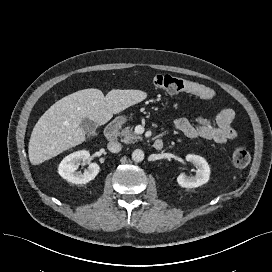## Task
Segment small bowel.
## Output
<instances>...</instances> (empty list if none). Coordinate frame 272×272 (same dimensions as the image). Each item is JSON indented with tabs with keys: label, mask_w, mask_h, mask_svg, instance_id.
Segmentation results:
<instances>
[{
	"label": "small bowel",
	"mask_w": 272,
	"mask_h": 272,
	"mask_svg": "<svg viewBox=\"0 0 272 272\" xmlns=\"http://www.w3.org/2000/svg\"><path fill=\"white\" fill-rule=\"evenodd\" d=\"M234 111L230 108L222 109L215 119L198 117L194 122L187 118H178L173 126L190 139L201 138L224 144L237 137L236 130L232 127Z\"/></svg>",
	"instance_id": "obj_1"
}]
</instances>
